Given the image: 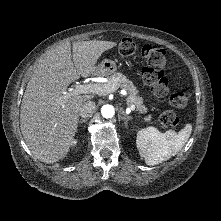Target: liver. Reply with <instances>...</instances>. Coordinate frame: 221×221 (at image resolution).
I'll return each mask as SVG.
<instances>
[{"label":"liver","instance_id":"liver-1","mask_svg":"<svg viewBox=\"0 0 221 221\" xmlns=\"http://www.w3.org/2000/svg\"><path fill=\"white\" fill-rule=\"evenodd\" d=\"M116 45L99 40L74 42L72 46L65 42L41 59L27 84L20 111L23 138L37 159L51 164L68 154L80 107L93 96L65 97L67 87L94 74L101 55Z\"/></svg>","mask_w":221,"mask_h":221}]
</instances>
